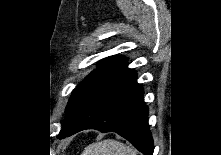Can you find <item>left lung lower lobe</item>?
I'll list each match as a JSON object with an SVG mask.
<instances>
[{"mask_svg": "<svg viewBox=\"0 0 221 155\" xmlns=\"http://www.w3.org/2000/svg\"><path fill=\"white\" fill-rule=\"evenodd\" d=\"M147 115L136 72L123 64L97 86L75 120L58 137H69L84 129L116 132L144 155H153Z\"/></svg>", "mask_w": 221, "mask_h": 155, "instance_id": "left-lung-lower-lobe-1", "label": "left lung lower lobe"}]
</instances>
